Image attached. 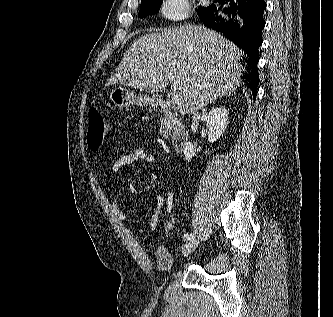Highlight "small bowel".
I'll list each match as a JSON object with an SVG mask.
<instances>
[{
    "mask_svg": "<svg viewBox=\"0 0 333 317\" xmlns=\"http://www.w3.org/2000/svg\"><path fill=\"white\" fill-rule=\"evenodd\" d=\"M156 161V157L148 152L143 147H135L125 154L120 156L111 166L113 174H118L124 167L137 164H153ZM162 210L165 211V221L163 224V231L168 233L166 227V221L168 216L174 212V194L168 190L164 195H157L155 197L154 206L148 224L145 227L137 229L138 233H143L146 230H155L159 226L160 214ZM122 216V214L120 213Z\"/></svg>",
    "mask_w": 333,
    "mask_h": 317,
    "instance_id": "1",
    "label": "small bowel"
}]
</instances>
